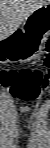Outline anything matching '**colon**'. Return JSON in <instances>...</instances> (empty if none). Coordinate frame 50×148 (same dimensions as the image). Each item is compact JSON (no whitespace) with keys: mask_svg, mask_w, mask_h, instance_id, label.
Returning <instances> with one entry per match:
<instances>
[{"mask_svg":"<svg viewBox=\"0 0 50 148\" xmlns=\"http://www.w3.org/2000/svg\"><path fill=\"white\" fill-rule=\"evenodd\" d=\"M43 64L50 66V56L44 58ZM4 85L9 87L11 94L22 100H34L42 97L49 84L48 70H12L2 73Z\"/></svg>","mask_w":50,"mask_h":148,"instance_id":"5ec220e1","label":"colon"}]
</instances>
